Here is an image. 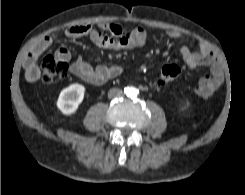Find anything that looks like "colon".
I'll return each instance as SVG.
<instances>
[{
    "label": "colon",
    "mask_w": 245,
    "mask_h": 195,
    "mask_svg": "<svg viewBox=\"0 0 245 195\" xmlns=\"http://www.w3.org/2000/svg\"><path fill=\"white\" fill-rule=\"evenodd\" d=\"M42 80L45 83H52L58 79L65 77L68 71L66 61L52 56H46L41 63ZM180 74V68L175 64H166L158 71V82L167 85L175 81Z\"/></svg>",
    "instance_id": "1"
}]
</instances>
